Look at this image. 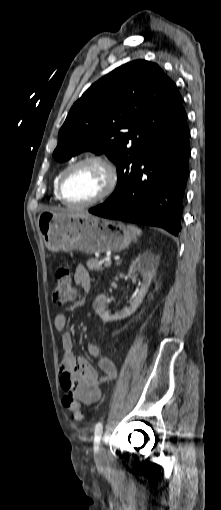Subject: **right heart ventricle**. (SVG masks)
<instances>
[{
    "mask_svg": "<svg viewBox=\"0 0 221 510\" xmlns=\"http://www.w3.org/2000/svg\"><path fill=\"white\" fill-rule=\"evenodd\" d=\"M62 174V171H60L54 178L53 180V194H54V197L55 198H59L58 197V194H57V186H58V182H59V178Z\"/></svg>",
    "mask_w": 221,
    "mask_h": 510,
    "instance_id": "obj_1",
    "label": "right heart ventricle"
}]
</instances>
